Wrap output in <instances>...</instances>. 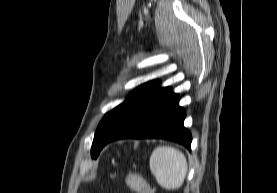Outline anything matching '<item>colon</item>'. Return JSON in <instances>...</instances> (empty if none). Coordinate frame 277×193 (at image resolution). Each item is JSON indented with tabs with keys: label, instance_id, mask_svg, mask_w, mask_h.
<instances>
[{
	"label": "colon",
	"instance_id": "colon-1",
	"mask_svg": "<svg viewBox=\"0 0 277 193\" xmlns=\"http://www.w3.org/2000/svg\"><path fill=\"white\" fill-rule=\"evenodd\" d=\"M124 184L135 193H153L147 181L135 172H129L124 176Z\"/></svg>",
	"mask_w": 277,
	"mask_h": 193
}]
</instances>
